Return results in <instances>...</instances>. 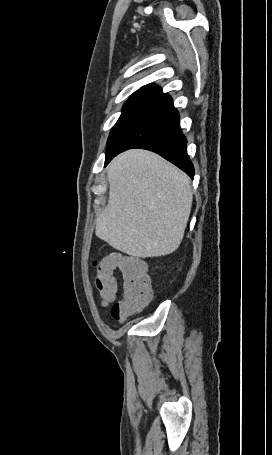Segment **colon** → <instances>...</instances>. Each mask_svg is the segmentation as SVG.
Listing matches in <instances>:
<instances>
[{
    "instance_id": "obj_1",
    "label": "colon",
    "mask_w": 272,
    "mask_h": 455,
    "mask_svg": "<svg viewBox=\"0 0 272 455\" xmlns=\"http://www.w3.org/2000/svg\"><path fill=\"white\" fill-rule=\"evenodd\" d=\"M93 266L95 287L104 304L115 299L120 286L121 299L111 309L115 320H126L152 299V287L142 260L119 251H111L94 261ZM116 272L120 275V283L115 277Z\"/></svg>"
}]
</instances>
